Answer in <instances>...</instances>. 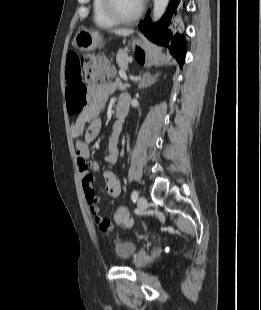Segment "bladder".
<instances>
[{"mask_svg":"<svg viewBox=\"0 0 261 310\" xmlns=\"http://www.w3.org/2000/svg\"><path fill=\"white\" fill-rule=\"evenodd\" d=\"M138 249V245L130 240L116 238L113 242L114 255L119 261L131 259Z\"/></svg>","mask_w":261,"mask_h":310,"instance_id":"31cf9c89","label":"bladder"}]
</instances>
